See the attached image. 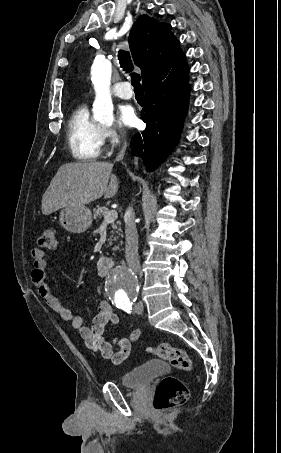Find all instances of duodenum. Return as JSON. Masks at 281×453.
<instances>
[{
	"instance_id": "410a0bca",
	"label": "duodenum",
	"mask_w": 281,
	"mask_h": 453,
	"mask_svg": "<svg viewBox=\"0 0 281 453\" xmlns=\"http://www.w3.org/2000/svg\"><path fill=\"white\" fill-rule=\"evenodd\" d=\"M114 266V261L110 257L103 256L97 262V270L100 276H106Z\"/></svg>"
}]
</instances>
